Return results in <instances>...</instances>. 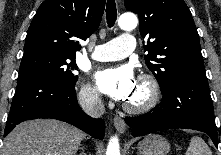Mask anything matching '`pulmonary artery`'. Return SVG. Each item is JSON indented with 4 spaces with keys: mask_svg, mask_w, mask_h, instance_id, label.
<instances>
[{
    "mask_svg": "<svg viewBox=\"0 0 221 155\" xmlns=\"http://www.w3.org/2000/svg\"><path fill=\"white\" fill-rule=\"evenodd\" d=\"M134 49V36L124 33L105 44L97 45L92 58L97 61L119 60L128 56Z\"/></svg>",
    "mask_w": 221,
    "mask_h": 155,
    "instance_id": "pulmonary-artery-1",
    "label": "pulmonary artery"
}]
</instances>
